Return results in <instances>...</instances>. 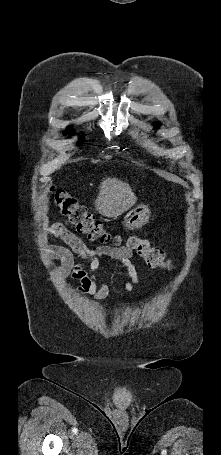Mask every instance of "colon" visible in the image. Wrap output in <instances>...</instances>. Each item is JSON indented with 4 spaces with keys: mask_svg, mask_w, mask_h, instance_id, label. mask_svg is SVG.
I'll use <instances>...</instances> for the list:
<instances>
[{
    "mask_svg": "<svg viewBox=\"0 0 221 455\" xmlns=\"http://www.w3.org/2000/svg\"><path fill=\"white\" fill-rule=\"evenodd\" d=\"M53 200L57 209L76 228V230L92 241L101 244H119L120 238L113 236L103 225V222L90 214L78 200L64 189L52 190ZM136 252L151 268L171 270L174 268L172 260L168 259L164 251L151 244L148 238L130 236L122 246Z\"/></svg>",
    "mask_w": 221,
    "mask_h": 455,
    "instance_id": "colon-1",
    "label": "colon"
}]
</instances>
